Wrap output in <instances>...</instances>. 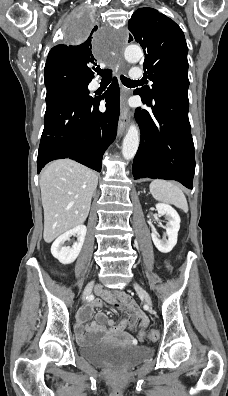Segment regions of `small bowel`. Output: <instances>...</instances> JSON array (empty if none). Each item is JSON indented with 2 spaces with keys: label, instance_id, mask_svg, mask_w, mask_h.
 <instances>
[{
  "label": "small bowel",
  "instance_id": "c3829d8e",
  "mask_svg": "<svg viewBox=\"0 0 228 396\" xmlns=\"http://www.w3.org/2000/svg\"><path fill=\"white\" fill-rule=\"evenodd\" d=\"M166 266L168 269L170 268L168 263ZM103 301L111 304L115 309L127 310L129 312L128 317L116 323L114 320L107 319L104 312L99 311L96 314L95 321L87 326L86 322L90 318L92 311L97 307H101ZM137 321H140L141 330L147 326L148 320L145 313L126 293L118 291L115 294H111L108 291L101 290L99 291V298L90 301L81 310L75 325V333L81 343H89L102 336L129 339L130 335L126 332V328L133 329Z\"/></svg>",
  "mask_w": 228,
  "mask_h": 396
}]
</instances>
